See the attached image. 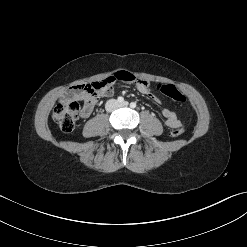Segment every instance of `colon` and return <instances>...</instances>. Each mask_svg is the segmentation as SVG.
<instances>
[{
    "mask_svg": "<svg viewBox=\"0 0 247 247\" xmlns=\"http://www.w3.org/2000/svg\"><path fill=\"white\" fill-rule=\"evenodd\" d=\"M114 82L115 79L109 77L101 81L77 86L69 96L56 105L52 112L53 120L63 132H72L76 126L80 113V106L75 100V93H82L85 101L95 103L102 92L113 87ZM157 88L163 95L175 102L183 103L186 100L185 96L172 84H159L157 85ZM183 132L184 130L179 127L173 129L171 134L174 137H178L182 135Z\"/></svg>",
    "mask_w": 247,
    "mask_h": 247,
    "instance_id": "1",
    "label": "colon"
}]
</instances>
